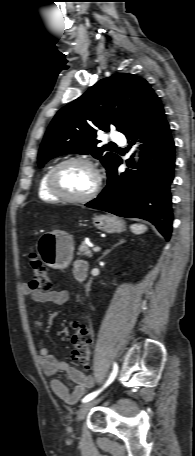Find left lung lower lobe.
Wrapping results in <instances>:
<instances>
[{"label": "left lung lower lobe", "instance_id": "1", "mask_svg": "<svg viewBox=\"0 0 195 456\" xmlns=\"http://www.w3.org/2000/svg\"><path fill=\"white\" fill-rule=\"evenodd\" d=\"M124 134L132 141L141 134L144 144L136 167L138 171L119 173L122 160L118 158L107 173V186L86 206L122 217L148 220L169 240L173 219L169 187L173 180L175 146L157 95L138 113ZM128 164H132L131 160Z\"/></svg>", "mask_w": 195, "mask_h": 456}]
</instances>
